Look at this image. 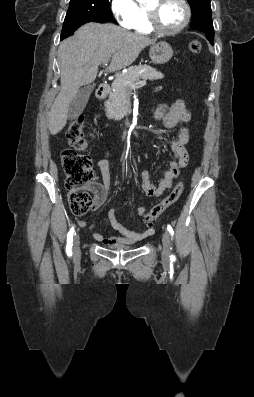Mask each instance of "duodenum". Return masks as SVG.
Segmentation results:
<instances>
[{"mask_svg":"<svg viewBox=\"0 0 254 397\" xmlns=\"http://www.w3.org/2000/svg\"><path fill=\"white\" fill-rule=\"evenodd\" d=\"M108 86L106 84H101L96 90V96L98 98H104L107 95Z\"/></svg>","mask_w":254,"mask_h":397,"instance_id":"410a0bca","label":"duodenum"}]
</instances>
